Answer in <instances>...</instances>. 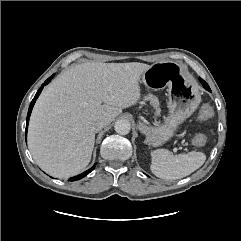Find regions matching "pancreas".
<instances>
[{"label":"pancreas","instance_id":"cf45deb5","mask_svg":"<svg viewBox=\"0 0 241 241\" xmlns=\"http://www.w3.org/2000/svg\"><path fill=\"white\" fill-rule=\"evenodd\" d=\"M147 100H150L151 104L153 105V107L156 109V115H159L160 113V108L158 107L159 105V101L157 99V97L149 94L147 97H146Z\"/></svg>","mask_w":241,"mask_h":241}]
</instances>
